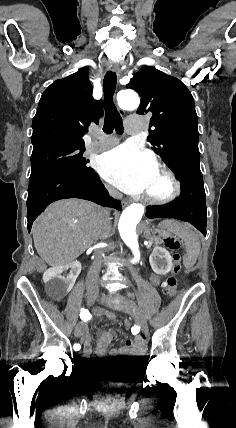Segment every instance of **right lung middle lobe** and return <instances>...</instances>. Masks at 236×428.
<instances>
[{"label":"right lung middle lobe","mask_w":236,"mask_h":428,"mask_svg":"<svg viewBox=\"0 0 236 428\" xmlns=\"http://www.w3.org/2000/svg\"><path fill=\"white\" fill-rule=\"evenodd\" d=\"M84 141L48 142L33 147L30 180L59 171L81 172L90 167L83 157Z\"/></svg>","instance_id":"1"}]
</instances>
